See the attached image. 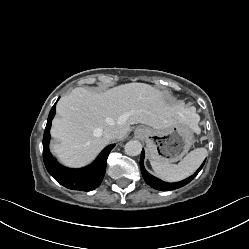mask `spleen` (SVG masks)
<instances>
[{
  "mask_svg": "<svg viewBox=\"0 0 249 249\" xmlns=\"http://www.w3.org/2000/svg\"><path fill=\"white\" fill-rule=\"evenodd\" d=\"M207 156L205 148H197L188 153L178 164L151 161L155 174L164 181L177 182L193 174Z\"/></svg>",
  "mask_w": 249,
  "mask_h": 249,
  "instance_id": "obj_1",
  "label": "spleen"
}]
</instances>
